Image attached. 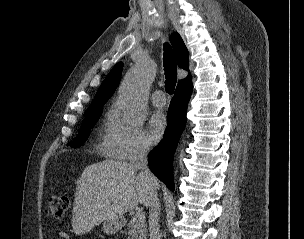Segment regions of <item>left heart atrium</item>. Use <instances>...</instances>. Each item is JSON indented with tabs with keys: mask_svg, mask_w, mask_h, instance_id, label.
<instances>
[{
	"mask_svg": "<svg viewBox=\"0 0 304 239\" xmlns=\"http://www.w3.org/2000/svg\"><path fill=\"white\" fill-rule=\"evenodd\" d=\"M149 141L152 144L157 143L162 136L167 127V120L162 112L154 113L149 120Z\"/></svg>",
	"mask_w": 304,
	"mask_h": 239,
	"instance_id": "obj_1",
	"label": "left heart atrium"
}]
</instances>
